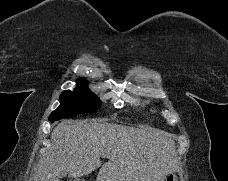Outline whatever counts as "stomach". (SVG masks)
Instances as JSON below:
<instances>
[{
  "instance_id": "stomach-1",
  "label": "stomach",
  "mask_w": 228,
  "mask_h": 181,
  "mask_svg": "<svg viewBox=\"0 0 228 181\" xmlns=\"http://www.w3.org/2000/svg\"><path fill=\"white\" fill-rule=\"evenodd\" d=\"M163 181H178L175 173H170V175H166L165 179Z\"/></svg>"
}]
</instances>
